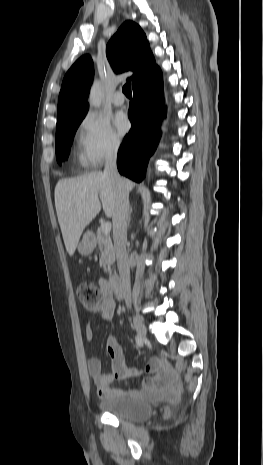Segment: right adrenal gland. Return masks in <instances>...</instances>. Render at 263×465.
Wrapping results in <instances>:
<instances>
[{
    "label": "right adrenal gland",
    "mask_w": 263,
    "mask_h": 465,
    "mask_svg": "<svg viewBox=\"0 0 263 465\" xmlns=\"http://www.w3.org/2000/svg\"><path fill=\"white\" fill-rule=\"evenodd\" d=\"M131 213H132V207L129 208V214H128V226L130 224V221H131Z\"/></svg>",
    "instance_id": "obj_1"
}]
</instances>
